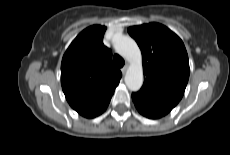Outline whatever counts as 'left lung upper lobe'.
<instances>
[{
    "label": "left lung upper lobe",
    "mask_w": 230,
    "mask_h": 155,
    "mask_svg": "<svg viewBox=\"0 0 230 155\" xmlns=\"http://www.w3.org/2000/svg\"><path fill=\"white\" fill-rule=\"evenodd\" d=\"M128 33L142 52L144 83L140 92L176 106L184 94L190 73L182 40L159 23L133 26Z\"/></svg>",
    "instance_id": "5c2ea615"
}]
</instances>
